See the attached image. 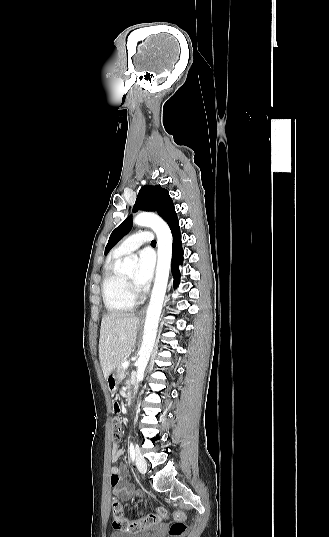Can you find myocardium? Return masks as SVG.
<instances>
[{
  "instance_id": "obj_1",
  "label": "myocardium",
  "mask_w": 329,
  "mask_h": 537,
  "mask_svg": "<svg viewBox=\"0 0 329 537\" xmlns=\"http://www.w3.org/2000/svg\"><path fill=\"white\" fill-rule=\"evenodd\" d=\"M123 278V281H124V284H125V287H126V290L128 292V294L134 299L136 297V291L134 289V286L132 284V282L130 280H128L126 278V276H122Z\"/></svg>"
}]
</instances>
